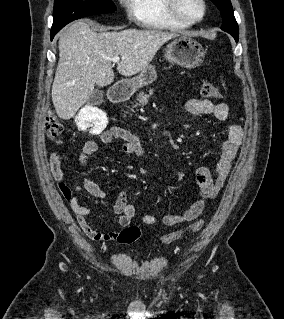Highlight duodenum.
Masks as SVG:
<instances>
[{"label": "duodenum", "mask_w": 284, "mask_h": 319, "mask_svg": "<svg viewBox=\"0 0 284 319\" xmlns=\"http://www.w3.org/2000/svg\"><path fill=\"white\" fill-rule=\"evenodd\" d=\"M129 97V91L122 86L112 87L109 91V99L113 104L124 102Z\"/></svg>", "instance_id": "obj_1"}]
</instances>
